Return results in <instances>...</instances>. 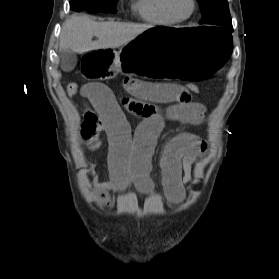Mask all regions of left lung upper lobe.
<instances>
[{
    "mask_svg": "<svg viewBox=\"0 0 279 279\" xmlns=\"http://www.w3.org/2000/svg\"><path fill=\"white\" fill-rule=\"evenodd\" d=\"M202 12L200 24L226 26L232 24L227 0H197Z\"/></svg>",
    "mask_w": 279,
    "mask_h": 279,
    "instance_id": "obj_1",
    "label": "left lung upper lobe"
}]
</instances>
